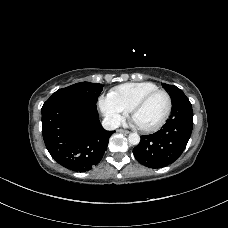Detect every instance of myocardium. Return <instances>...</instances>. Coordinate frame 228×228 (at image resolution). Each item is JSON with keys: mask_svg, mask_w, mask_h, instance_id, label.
Wrapping results in <instances>:
<instances>
[{"mask_svg": "<svg viewBox=\"0 0 228 228\" xmlns=\"http://www.w3.org/2000/svg\"><path fill=\"white\" fill-rule=\"evenodd\" d=\"M158 93H163L166 96V98H167L166 111H165L164 115L162 116V118L156 124H154L152 126L141 127V126L136 125L138 127V129H140L143 132H154V131H157L158 129H160L165 124V122L167 121L168 117L170 116V113H171V110H172V106H173L171 95L166 90L158 88V89L150 91L147 94H145L144 96H142L129 109L130 118L133 120L134 113L140 107H142L151 97H153L155 94H158Z\"/></svg>", "mask_w": 228, "mask_h": 228, "instance_id": "1", "label": "myocardium"}]
</instances>
